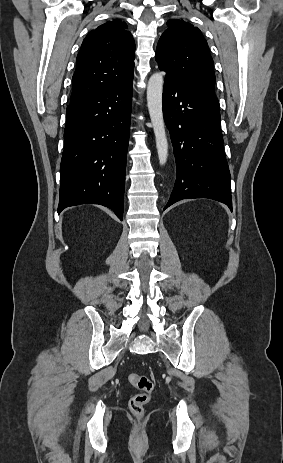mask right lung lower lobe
<instances>
[{
	"instance_id": "1",
	"label": "right lung lower lobe",
	"mask_w": 283,
	"mask_h": 463,
	"mask_svg": "<svg viewBox=\"0 0 283 463\" xmlns=\"http://www.w3.org/2000/svg\"><path fill=\"white\" fill-rule=\"evenodd\" d=\"M131 107L132 80L69 104L58 213L92 203L122 220Z\"/></svg>"
}]
</instances>
